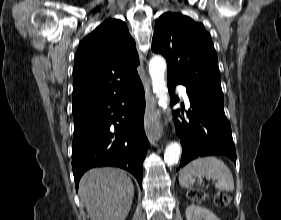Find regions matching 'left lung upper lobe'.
Wrapping results in <instances>:
<instances>
[{
  "mask_svg": "<svg viewBox=\"0 0 281 220\" xmlns=\"http://www.w3.org/2000/svg\"><path fill=\"white\" fill-rule=\"evenodd\" d=\"M152 51L166 58L167 79L224 101L216 51L201 23L180 13L162 14L155 23Z\"/></svg>",
  "mask_w": 281,
  "mask_h": 220,
  "instance_id": "left-lung-upper-lobe-1",
  "label": "left lung upper lobe"
}]
</instances>
